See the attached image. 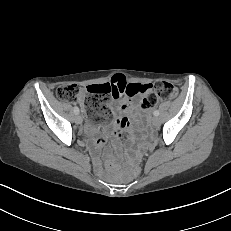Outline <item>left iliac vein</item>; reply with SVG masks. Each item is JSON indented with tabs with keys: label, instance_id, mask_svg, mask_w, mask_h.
<instances>
[{
	"label": "left iliac vein",
	"instance_id": "obj_1",
	"mask_svg": "<svg viewBox=\"0 0 231 231\" xmlns=\"http://www.w3.org/2000/svg\"><path fill=\"white\" fill-rule=\"evenodd\" d=\"M152 125H153L154 127H158V126L160 125V119H159L158 117H154V118L152 119Z\"/></svg>",
	"mask_w": 231,
	"mask_h": 231
}]
</instances>
